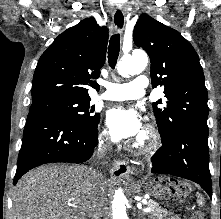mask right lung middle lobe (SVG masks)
<instances>
[{
    "label": "right lung middle lobe",
    "instance_id": "obj_1",
    "mask_svg": "<svg viewBox=\"0 0 221 219\" xmlns=\"http://www.w3.org/2000/svg\"><path fill=\"white\" fill-rule=\"evenodd\" d=\"M91 99L47 98L32 103L29 112H44L62 116L78 125L96 128L100 114H93L95 108L89 106Z\"/></svg>",
    "mask_w": 221,
    "mask_h": 219
}]
</instances>
